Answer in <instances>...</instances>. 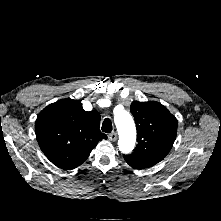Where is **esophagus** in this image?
<instances>
[{"label": "esophagus", "instance_id": "esophagus-1", "mask_svg": "<svg viewBox=\"0 0 221 221\" xmlns=\"http://www.w3.org/2000/svg\"><path fill=\"white\" fill-rule=\"evenodd\" d=\"M117 133L116 132H111V133H109L108 134V139L110 140V141H116L117 140Z\"/></svg>", "mask_w": 221, "mask_h": 221}]
</instances>
